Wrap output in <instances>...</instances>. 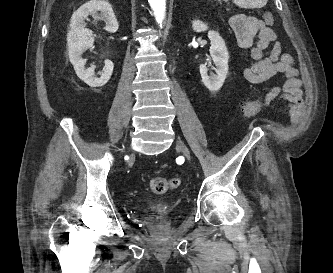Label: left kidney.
I'll use <instances>...</instances> for the list:
<instances>
[{
	"mask_svg": "<svg viewBox=\"0 0 333 273\" xmlns=\"http://www.w3.org/2000/svg\"><path fill=\"white\" fill-rule=\"evenodd\" d=\"M192 28L195 32H202L208 29L207 24L200 20H194L192 22ZM208 38L211 41L209 51L211 58L216 66V74H213L212 72L208 74L209 69L207 64L200 65V74L204 85L210 91L215 92L222 87L226 79L228 73L229 54L225 45V41L222 39L218 32L210 30L208 32Z\"/></svg>",
	"mask_w": 333,
	"mask_h": 273,
	"instance_id": "5707ae66",
	"label": "left kidney"
}]
</instances>
